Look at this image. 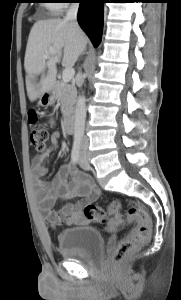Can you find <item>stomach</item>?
<instances>
[{
  "mask_svg": "<svg viewBox=\"0 0 181 300\" xmlns=\"http://www.w3.org/2000/svg\"><path fill=\"white\" fill-rule=\"evenodd\" d=\"M55 98H56V93L53 87L51 90L44 92L40 96L38 104L47 107L55 101Z\"/></svg>",
  "mask_w": 181,
  "mask_h": 300,
  "instance_id": "1",
  "label": "stomach"
}]
</instances>
